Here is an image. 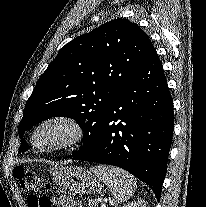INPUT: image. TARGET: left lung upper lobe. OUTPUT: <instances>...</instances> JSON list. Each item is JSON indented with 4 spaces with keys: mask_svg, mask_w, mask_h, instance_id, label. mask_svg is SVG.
<instances>
[{
    "mask_svg": "<svg viewBox=\"0 0 206 207\" xmlns=\"http://www.w3.org/2000/svg\"><path fill=\"white\" fill-rule=\"evenodd\" d=\"M154 52L149 36L127 19L112 20L66 44L26 103L19 151L28 150L26 130L55 116L76 120L85 134L80 150L88 149L112 100Z\"/></svg>",
    "mask_w": 206,
    "mask_h": 207,
    "instance_id": "5c2ea615",
    "label": "left lung upper lobe"
}]
</instances>
